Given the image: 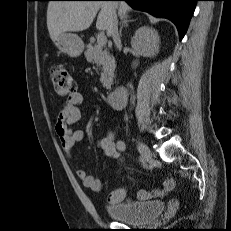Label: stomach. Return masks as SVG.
<instances>
[{"instance_id":"stomach-1","label":"stomach","mask_w":231,"mask_h":231,"mask_svg":"<svg viewBox=\"0 0 231 231\" xmlns=\"http://www.w3.org/2000/svg\"><path fill=\"white\" fill-rule=\"evenodd\" d=\"M53 42L61 52L72 58L80 56L84 49L82 39L72 33H61Z\"/></svg>"}]
</instances>
